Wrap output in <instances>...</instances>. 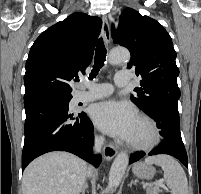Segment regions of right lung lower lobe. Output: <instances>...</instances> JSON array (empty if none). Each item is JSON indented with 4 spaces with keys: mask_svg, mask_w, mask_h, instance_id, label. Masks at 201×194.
Segmentation results:
<instances>
[{
    "mask_svg": "<svg viewBox=\"0 0 201 194\" xmlns=\"http://www.w3.org/2000/svg\"><path fill=\"white\" fill-rule=\"evenodd\" d=\"M68 103L61 95L47 92L24 96L22 170L36 157L51 151L73 153L98 167L102 157L91 151L93 124L84 112L71 113Z\"/></svg>",
    "mask_w": 201,
    "mask_h": 194,
    "instance_id": "1",
    "label": "right lung lower lobe"
}]
</instances>
